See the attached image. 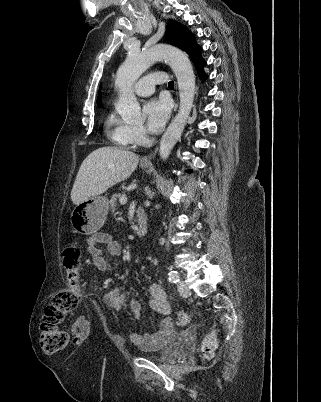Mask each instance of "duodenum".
<instances>
[{
  "mask_svg": "<svg viewBox=\"0 0 321 402\" xmlns=\"http://www.w3.org/2000/svg\"><path fill=\"white\" fill-rule=\"evenodd\" d=\"M136 221H137V235L138 237H143L148 229V218L146 213L143 210H138L136 212Z\"/></svg>",
  "mask_w": 321,
  "mask_h": 402,
  "instance_id": "obj_1",
  "label": "duodenum"
}]
</instances>
